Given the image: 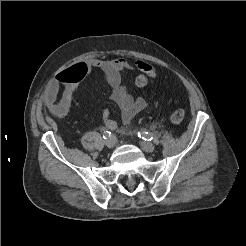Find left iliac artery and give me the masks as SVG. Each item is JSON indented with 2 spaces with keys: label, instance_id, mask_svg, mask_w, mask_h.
Listing matches in <instances>:
<instances>
[{
  "label": "left iliac artery",
  "instance_id": "1",
  "mask_svg": "<svg viewBox=\"0 0 246 246\" xmlns=\"http://www.w3.org/2000/svg\"><path fill=\"white\" fill-rule=\"evenodd\" d=\"M138 136L144 140L151 141L154 137V134L143 131V132H138Z\"/></svg>",
  "mask_w": 246,
  "mask_h": 246
}]
</instances>
